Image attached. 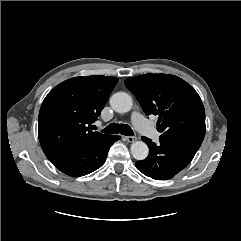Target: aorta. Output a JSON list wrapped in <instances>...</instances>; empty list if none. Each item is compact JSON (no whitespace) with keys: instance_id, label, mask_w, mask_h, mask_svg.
<instances>
[{"instance_id":"1","label":"aorta","mask_w":241,"mask_h":241,"mask_svg":"<svg viewBox=\"0 0 241 241\" xmlns=\"http://www.w3.org/2000/svg\"><path fill=\"white\" fill-rule=\"evenodd\" d=\"M112 109L118 113L129 112L133 105V100L130 95L125 92H117L110 98ZM131 154L136 160H144L147 158L149 149L143 141H136L131 144Z\"/></svg>"}]
</instances>
